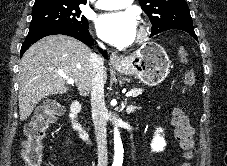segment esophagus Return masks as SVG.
I'll return each mask as SVG.
<instances>
[{
	"label": "esophagus",
	"instance_id": "obj_1",
	"mask_svg": "<svg viewBox=\"0 0 227 166\" xmlns=\"http://www.w3.org/2000/svg\"><path fill=\"white\" fill-rule=\"evenodd\" d=\"M122 58L117 54V52H113L111 55H110V63L112 65H118L120 63H122Z\"/></svg>",
	"mask_w": 227,
	"mask_h": 166
}]
</instances>
